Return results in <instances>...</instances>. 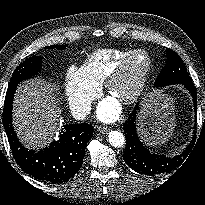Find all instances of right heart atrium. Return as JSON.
<instances>
[{
  "label": "right heart atrium",
  "mask_w": 205,
  "mask_h": 205,
  "mask_svg": "<svg viewBox=\"0 0 205 205\" xmlns=\"http://www.w3.org/2000/svg\"><path fill=\"white\" fill-rule=\"evenodd\" d=\"M64 86L66 99L72 113L77 116L86 115L100 87L88 81L80 68L75 66L68 68Z\"/></svg>",
  "instance_id": "d8ad5b80"
}]
</instances>
